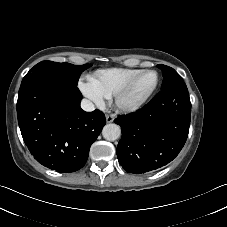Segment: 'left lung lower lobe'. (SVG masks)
<instances>
[{
    "label": "left lung lower lobe",
    "mask_w": 227,
    "mask_h": 227,
    "mask_svg": "<svg viewBox=\"0 0 227 227\" xmlns=\"http://www.w3.org/2000/svg\"><path fill=\"white\" fill-rule=\"evenodd\" d=\"M191 102L187 87L161 90L138 111L117 117L122 138L117 146L121 166L133 174L156 170L183 148L190 127Z\"/></svg>",
    "instance_id": "1"
}]
</instances>
